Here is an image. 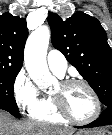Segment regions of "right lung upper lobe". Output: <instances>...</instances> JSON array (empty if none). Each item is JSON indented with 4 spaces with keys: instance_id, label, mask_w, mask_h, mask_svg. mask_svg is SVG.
Segmentation results:
<instances>
[{
    "instance_id": "cb5924a9",
    "label": "right lung upper lobe",
    "mask_w": 112,
    "mask_h": 135,
    "mask_svg": "<svg viewBox=\"0 0 112 135\" xmlns=\"http://www.w3.org/2000/svg\"><path fill=\"white\" fill-rule=\"evenodd\" d=\"M27 37L26 19L10 13L0 16V69H21Z\"/></svg>"
}]
</instances>
